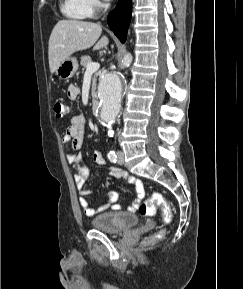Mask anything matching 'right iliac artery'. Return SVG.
Segmentation results:
<instances>
[{
  "mask_svg": "<svg viewBox=\"0 0 243 289\" xmlns=\"http://www.w3.org/2000/svg\"><path fill=\"white\" fill-rule=\"evenodd\" d=\"M108 158L113 163H116V161H117V155L114 151H111L108 153Z\"/></svg>",
  "mask_w": 243,
  "mask_h": 289,
  "instance_id": "82829eb1",
  "label": "right iliac artery"
}]
</instances>
